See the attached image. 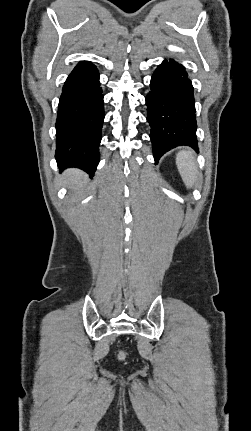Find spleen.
<instances>
[{
  "label": "spleen",
  "instance_id": "1",
  "mask_svg": "<svg viewBox=\"0 0 251 431\" xmlns=\"http://www.w3.org/2000/svg\"><path fill=\"white\" fill-rule=\"evenodd\" d=\"M176 165L186 187L192 188L197 178V167L192 151H180L176 155Z\"/></svg>",
  "mask_w": 251,
  "mask_h": 431
}]
</instances>
